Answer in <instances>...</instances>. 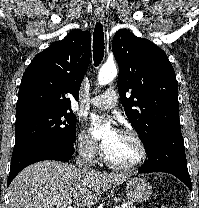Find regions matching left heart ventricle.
<instances>
[{"label":"left heart ventricle","instance_id":"left-heart-ventricle-1","mask_svg":"<svg viewBox=\"0 0 199 208\" xmlns=\"http://www.w3.org/2000/svg\"><path fill=\"white\" fill-rule=\"evenodd\" d=\"M105 141H109L105 153L111 160L117 163L130 164L139 158V147L130 136L122 133L111 136V133H108L104 137Z\"/></svg>","mask_w":199,"mask_h":208}]
</instances>
